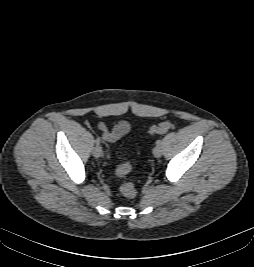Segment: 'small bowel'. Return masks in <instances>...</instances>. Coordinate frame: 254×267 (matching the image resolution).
I'll list each match as a JSON object with an SVG mask.
<instances>
[{"label":"small bowel","instance_id":"c3829d8e","mask_svg":"<svg viewBox=\"0 0 254 267\" xmlns=\"http://www.w3.org/2000/svg\"><path fill=\"white\" fill-rule=\"evenodd\" d=\"M98 129L101 131V137L104 141L116 142L131 131V125L127 121H122L109 130L104 123H99Z\"/></svg>","mask_w":254,"mask_h":267}]
</instances>
